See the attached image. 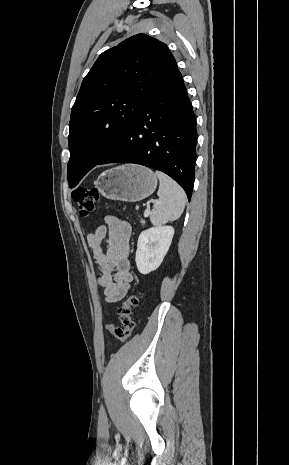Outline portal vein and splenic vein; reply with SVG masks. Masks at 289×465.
<instances>
[{"mask_svg": "<svg viewBox=\"0 0 289 465\" xmlns=\"http://www.w3.org/2000/svg\"><path fill=\"white\" fill-rule=\"evenodd\" d=\"M156 204H157V202L155 203V205H156ZM145 212H146V213H149V212H150V207H147Z\"/></svg>", "mask_w": 289, "mask_h": 465, "instance_id": "1", "label": "portal vein and splenic vein"}]
</instances>
